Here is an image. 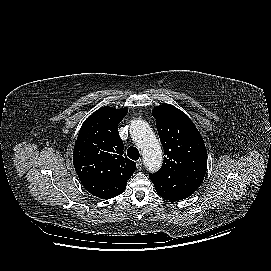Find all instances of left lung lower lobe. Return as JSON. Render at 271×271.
I'll list each match as a JSON object with an SVG mask.
<instances>
[{
  "mask_svg": "<svg viewBox=\"0 0 271 271\" xmlns=\"http://www.w3.org/2000/svg\"><path fill=\"white\" fill-rule=\"evenodd\" d=\"M163 189L164 190L156 188L157 193L161 197L167 200L177 201L192 195L198 189V186L180 176H172L168 179V182L165 183Z\"/></svg>",
  "mask_w": 271,
  "mask_h": 271,
  "instance_id": "obj_1",
  "label": "left lung lower lobe"
}]
</instances>
